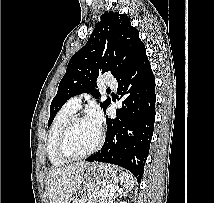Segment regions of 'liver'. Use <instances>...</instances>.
<instances>
[{"mask_svg":"<svg viewBox=\"0 0 214 203\" xmlns=\"http://www.w3.org/2000/svg\"><path fill=\"white\" fill-rule=\"evenodd\" d=\"M87 162L52 168L47 175L49 203H69L71 197L80 189Z\"/></svg>","mask_w":214,"mask_h":203,"instance_id":"obj_1","label":"liver"}]
</instances>
